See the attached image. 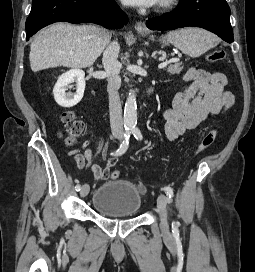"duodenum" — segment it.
I'll use <instances>...</instances> for the list:
<instances>
[{
    "instance_id": "obj_1",
    "label": "duodenum",
    "mask_w": 255,
    "mask_h": 272,
    "mask_svg": "<svg viewBox=\"0 0 255 272\" xmlns=\"http://www.w3.org/2000/svg\"><path fill=\"white\" fill-rule=\"evenodd\" d=\"M152 92H153L152 87H148V88L145 90L144 95H145V96H149V95L152 94Z\"/></svg>"
}]
</instances>
